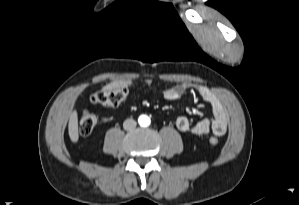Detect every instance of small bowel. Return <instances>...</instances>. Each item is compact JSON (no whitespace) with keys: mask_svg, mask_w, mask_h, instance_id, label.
<instances>
[{"mask_svg":"<svg viewBox=\"0 0 299 205\" xmlns=\"http://www.w3.org/2000/svg\"><path fill=\"white\" fill-rule=\"evenodd\" d=\"M135 83V80H114L108 83L103 89H113L119 86H132L135 85ZM143 84L150 86L152 81L146 79L143 81ZM188 90H195L205 102L211 105L213 117H205L195 124H191V121L186 116H180L175 122L177 129L181 132H191L198 136L206 135L210 132L217 135H223L226 132L228 125V112L221 98L210 88L191 82H182L166 88L163 91V97L169 101L177 100Z\"/></svg>","mask_w":299,"mask_h":205,"instance_id":"obj_1","label":"small bowel"}]
</instances>
